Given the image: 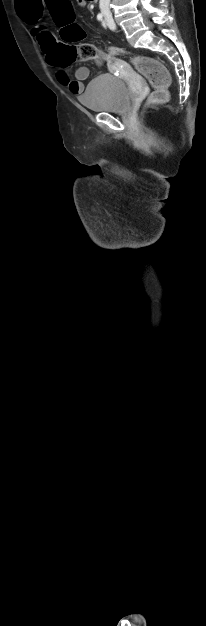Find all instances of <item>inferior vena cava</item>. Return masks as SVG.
I'll use <instances>...</instances> for the list:
<instances>
[{
    "label": "inferior vena cava",
    "mask_w": 206,
    "mask_h": 626,
    "mask_svg": "<svg viewBox=\"0 0 206 626\" xmlns=\"http://www.w3.org/2000/svg\"><path fill=\"white\" fill-rule=\"evenodd\" d=\"M110 0H100L99 7L102 14L106 17L111 16L110 8H109Z\"/></svg>",
    "instance_id": "602c4592"
}]
</instances>
